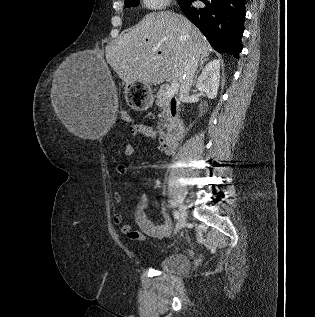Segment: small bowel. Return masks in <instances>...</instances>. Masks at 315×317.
I'll list each match as a JSON object with an SVG mask.
<instances>
[{
	"mask_svg": "<svg viewBox=\"0 0 315 317\" xmlns=\"http://www.w3.org/2000/svg\"><path fill=\"white\" fill-rule=\"evenodd\" d=\"M128 133L134 136H139L147 139H154L156 137V132L147 124L139 123L133 124L128 128ZM136 152L135 145L127 143L122 148L121 154L127 157L134 155ZM115 173L118 175H125L127 173V167L125 165L119 164L115 167ZM114 198L117 202L123 200L122 194L116 192ZM147 207V197L145 195L141 196L135 211L134 218L140 229V231H135L132 229L130 224L123 222V216L120 213H115L113 215V222L118 226L119 231L125 235L130 240L144 241L146 235L152 238H163L170 234L172 229V224L168 218H165L162 224L156 225L150 221L146 214Z\"/></svg>",
	"mask_w": 315,
	"mask_h": 317,
	"instance_id": "small-bowel-1",
	"label": "small bowel"
}]
</instances>
